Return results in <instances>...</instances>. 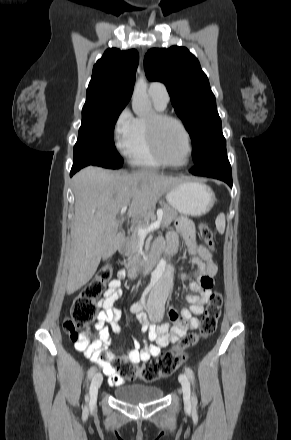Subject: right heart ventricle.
Segmentation results:
<instances>
[{"mask_svg": "<svg viewBox=\"0 0 291 440\" xmlns=\"http://www.w3.org/2000/svg\"><path fill=\"white\" fill-rule=\"evenodd\" d=\"M154 106L157 112H162L165 107L159 105L154 99ZM145 118L137 117L134 119V131L131 141L125 150V155L129 164L133 167L159 168L163 165L154 157L145 126Z\"/></svg>", "mask_w": 291, "mask_h": 440, "instance_id": "obj_1", "label": "right heart ventricle"}]
</instances>
